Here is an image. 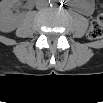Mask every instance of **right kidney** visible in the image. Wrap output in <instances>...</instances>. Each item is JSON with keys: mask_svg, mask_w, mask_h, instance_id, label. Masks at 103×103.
Returning <instances> with one entry per match:
<instances>
[{"mask_svg": "<svg viewBox=\"0 0 103 103\" xmlns=\"http://www.w3.org/2000/svg\"><path fill=\"white\" fill-rule=\"evenodd\" d=\"M17 0H3L0 4V29L2 32H11L18 27V18L13 15L12 8Z\"/></svg>", "mask_w": 103, "mask_h": 103, "instance_id": "1", "label": "right kidney"}]
</instances>
